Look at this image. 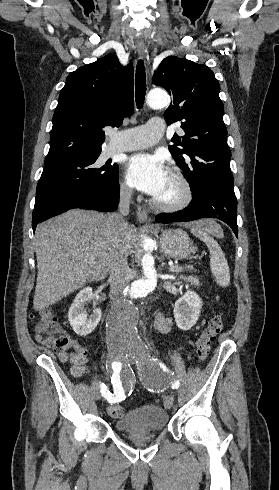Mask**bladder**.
<instances>
[{"label": "bladder", "mask_w": 279, "mask_h": 490, "mask_svg": "<svg viewBox=\"0 0 279 490\" xmlns=\"http://www.w3.org/2000/svg\"><path fill=\"white\" fill-rule=\"evenodd\" d=\"M168 413L159 405H139L118 420L114 427L119 434L127 432H160L168 425Z\"/></svg>", "instance_id": "obj_1"}]
</instances>
